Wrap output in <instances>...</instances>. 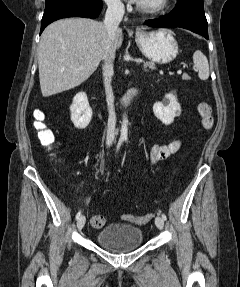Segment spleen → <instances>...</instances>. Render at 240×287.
I'll return each mask as SVG.
<instances>
[{
  "label": "spleen",
  "instance_id": "spleen-1",
  "mask_svg": "<svg viewBox=\"0 0 240 287\" xmlns=\"http://www.w3.org/2000/svg\"><path fill=\"white\" fill-rule=\"evenodd\" d=\"M193 62L201 80L209 78V64L207 57L200 51L196 50L193 54Z\"/></svg>",
  "mask_w": 240,
  "mask_h": 287
}]
</instances>
